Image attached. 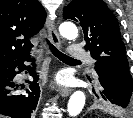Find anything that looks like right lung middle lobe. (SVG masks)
<instances>
[{
  "label": "right lung middle lobe",
  "instance_id": "right-lung-middle-lobe-1",
  "mask_svg": "<svg viewBox=\"0 0 133 118\" xmlns=\"http://www.w3.org/2000/svg\"><path fill=\"white\" fill-rule=\"evenodd\" d=\"M3 72V68H0V74Z\"/></svg>",
  "mask_w": 133,
  "mask_h": 118
}]
</instances>
